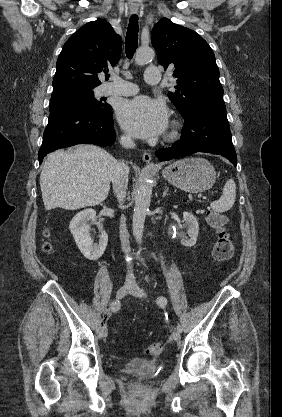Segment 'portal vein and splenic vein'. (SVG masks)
I'll return each mask as SVG.
<instances>
[{"label":"portal vein and splenic vein","instance_id":"obj_1","mask_svg":"<svg viewBox=\"0 0 282 417\" xmlns=\"http://www.w3.org/2000/svg\"><path fill=\"white\" fill-rule=\"evenodd\" d=\"M196 198H197V199L204 198V200H206V201H211V200H213V197H211V195H208V194H205V195H204V193H200V192H197V193H196Z\"/></svg>","mask_w":282,"mask_h":417}]
</instances>
